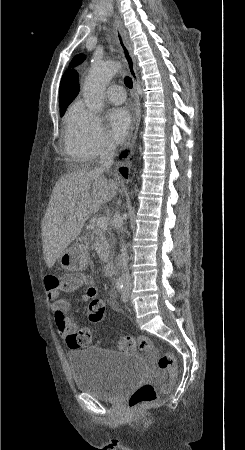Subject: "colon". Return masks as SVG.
<instances>
[{
	"label": "colon",
	"instance_id": "5ec220e1",
	"mask_svg": "<svg viewBox=\"0 0 245 450\" xmlns=\"http://www.w3.org/2000/svg\"><path fill=\"white\" fill-rule=\"evenodd\" d=\"M85 278L81 272H68L64 275L47 279L46 286L61 291L70 290L83 283ZM106 316L105 305L100 300L90 302L88 306L87 318L92 323L101 322ZM74 346H84L91 342V334L88 330H78L69 336ZM119 346L123 350H131L135 347L142 351L153 352L157 356L158 367L164 371L169 381L163 385V390H171L174 379L177 376V369L174 354L161 351L148 337L140 336L137 338L124 337L120 339ZM158 395L154 385L142 384L132 393L129 398L128 406L132 412L138 413L144 406L157 401Z\"/></svg>",
	"mask_w": 245,
	"mask_h": 450
}]
</instances>
